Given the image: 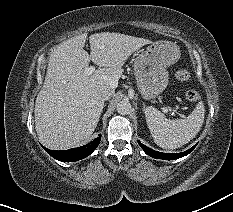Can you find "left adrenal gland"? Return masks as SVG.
I'll return each instance as SVG.
<instances>
[{
  "label": "left adrenal gland",
  "instance_id": "a2214340",
  "mask_svg": "<svg viewBox=\"0 0 233 212\" xmlns=\"http://www.w3.org/2000/svg\"><path fill=\"white\" fill-rule=\"evenodd\" d=\"M143 108L145 109V104L143 103Z\"/></svg>",
  "mask_w": 233,
  "mask_h": 212
}]
</instances>
